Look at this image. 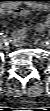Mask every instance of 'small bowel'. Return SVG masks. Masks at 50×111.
<instances>
[{"instance_id": "c3829d8e", "label": "small bowel", "mask_w": 50, "mask_h": 111, "mask_svg": "<svg viewBox=\"0 0 50 111\" xmlns=\"http://www.w3.org/2000/svg\"><path fill=\"white\" fill-rule=\"evenodd\" d=\"M36 7L40 9H46V6H43V5H38ZM1 12L3 14L4 13L11 14L16 17H25L29 13L27 9L21 8L18 6H13V7L3 6V8L1 9ZM49 26H50V18L47 17L45 20H43L37 25V30L41 32V31H44ZM25 36H26V28H21L13 33V40L15 41V43L20 44L21 40Z\"/></svg>"}]
</instances>
